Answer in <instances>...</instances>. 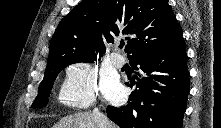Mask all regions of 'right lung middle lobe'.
<instances>
[{"label": "right lung middle lobe", "mask_w": 221, "mask_h": 128, "mask_svg": "<svg viewBox=\"0 0 221 128\" xmlns=\"http://www.w3.org/2000/svg\"><path fill=\"white\" fill-rule=\"evenodd\" d=\"M94 60H83V59H69L64 60L62 62H58L55 64L47 65L43 81L40 83L38 96L32 104V108H41L46 105L48 102V96L50 94V90L52 89L53 82L56 79L58 73L64 69L66 66L76 62H93Z\"/></svg>", "instance_id": "1"}]
</instances>
